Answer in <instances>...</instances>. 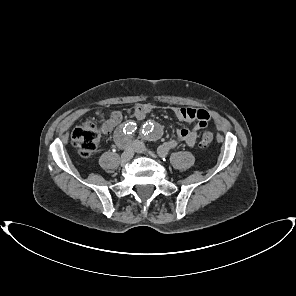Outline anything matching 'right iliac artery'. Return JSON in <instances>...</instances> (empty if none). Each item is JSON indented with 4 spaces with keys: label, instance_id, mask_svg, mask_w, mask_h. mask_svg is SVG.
Segmentation results:
<instances>
[{
    "label": "right iliac artery",
    "instance_id": "82829eb1",
    "mask_svg": "<svg viewBox=\"0 0 296 296\" xmlns=\"http://www.w3.org/2000/svg\"><path fill=\"white\" fill-rule=\"evenodd\" d=\"M136 129V123L134 122H129L120 127L116 135L117 145L119 146V148H125L128 145V143L130 142L129 138L135 132Z\"/></svg>",
    "mask_w": 296,
    "mask_h": 296
}]
</instances>
